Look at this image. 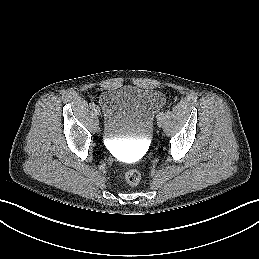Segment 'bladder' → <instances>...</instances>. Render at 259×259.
<instances>
[{"label":"bladder","instance_id":"obj_1","mask_svg":"<svg viewBox=\"0 0 259 259\" xmlns=\"http://www.w3.org/2000/svg\"><path fill=\"white\" fill-rule=\"evenodd\" d=\"M159 105V94L153 90L127 87L106 93L103 98L105 137L149 139Z\"/></svg>","mask_w":259,"mask_h":259}]
</instances>
